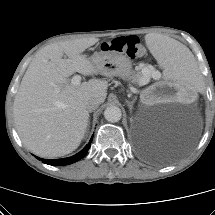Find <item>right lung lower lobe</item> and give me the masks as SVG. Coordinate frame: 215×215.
I'll use <instances>...</instances> for the list:
<instances>
[{"mask_svg": "<svg viewBox=\"0 0 215 215\" xmlns=\"http://www.w3.org/2000/svg\"><path fill=\"white\" fill-rule=\"evenodd\" d=\"M93 136L90 139V142H92ZM90 148V143L87 144L83 150H81L79 153H77L74 156L68 157V158H63V159H55V160H48V159H44L43 162L48 164V165H52V166H64V165H69L72 164L74 162H77L78 160H80L81 158H83L88 150ZM38 158V157H36ZM39 159V158H38Z\"/></svg>", "mask_w": 215, "mask_h": 215, "instance_id": "right-lung-lower-lobe-1", "label": "right lung lower lobe"}]
</instances>
